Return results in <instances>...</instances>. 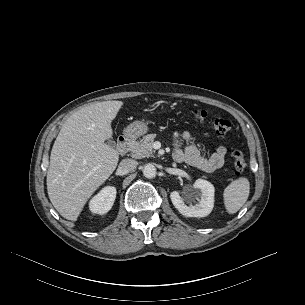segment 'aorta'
Segmentation results:
<instances>
[{"label":"aorta","mask_w":305,"mask_h":305,"mask_svg":"<svg viewBox=\"0 0 305 305\" xmlns=\"http://www.w3.org/2000/svg\"><path fill=\"white\" fill-rule=\"evenodd\" d=\"M143 174L146 178H153L156 176V168L153 164H146L143 167Z\"/></svg>","instance_id":"aorta-1"}]
</instances>
